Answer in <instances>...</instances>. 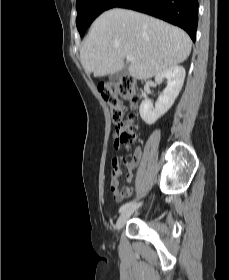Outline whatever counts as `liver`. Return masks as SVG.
I'll return each mask as SVG.
<instances>
[{"label": "liver", "mask_w": 229, "mask_h": 280, "mask_svg": "<svg viewBox=\"0 0 229 280\" xmlns=\"http://www.w3.org/2000/svg\"><path fill=\"white\" fill-rule=\"evenodd\" d=\"M191 39L182 29L126 9H111L92 24L80 50L81 64L90 75L103 77L124 67L139 80L150 79L184 62L191 52Z\"/></svg>", "instance_id": "obj_1"}]
</instances>
